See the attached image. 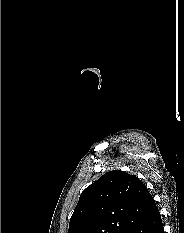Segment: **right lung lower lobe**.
<instances>
[{"label":"right lung lower lobe","instance_id":"1","mask_svg":"<svg viewBox=\"0 0 184 233\" xmlns=\"http://www.w3.org/2000/svg\"><path fill=\"white\" fill-rule=\"evenodd\" d=\"M128 233H164L163 223L158 208L156 207Z\"/></svg>","mask_w":184,"mask_h":233}]
</instances>
